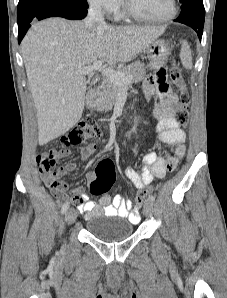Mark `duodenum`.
<instances>
[{
  "instance_id": "410a0bca",
  "label": "duodenum",
  "mask_w": 227,
  "mask_h": 298,
  "mask_svg": "<svg viewBox=\"0 0 227 298\" xmlns=\"http://www.w3.org/2000/svg\"><path fill=\"white\" fill-rule=\"evenodd\" d=\"M100 102V93L97 89H93L88 93L87 106L91 109L98 106Z\"/></svg>"
}]
</instances>
